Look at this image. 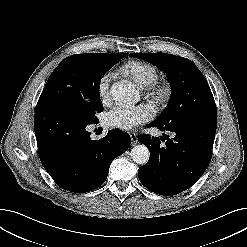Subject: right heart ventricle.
<instances>
[{
  "instance_id": "right-heart-ventricle-1",
  "label": "right heart ventricle",
  "mask_w": 247,
  "mask_h": 247,
  "mask_svg": "<svg viewBox=\"0 0 247 247\" xmlns=\"http://www.w3.org/2000/svg\"><path fill=\"white\" fill-rule=\"evenodd\" d=\"M122 73L140 86H146L153 83L158 77L156 67L149 63L133 61L124 65Z\"/></svg>"
}]
</instances>
